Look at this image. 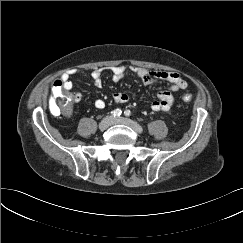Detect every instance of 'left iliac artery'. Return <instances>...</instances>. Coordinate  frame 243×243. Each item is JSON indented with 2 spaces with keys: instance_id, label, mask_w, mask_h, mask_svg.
<instances>
[{
  "instance_id": "obj_1",
  "label": "left iliac artery",
  "mask_w": 243,
  "mask_h": 243,
  "mask_svg": "<svg viewBox=\"0 0 243 243\" xmlns=\"http://www.w3.org/2000/svg\"><path fill=\"white\" fill-rule=\"evenodd\" d=\"M124 114H125V116H130L131 112H130V110H126V111H124Z\"/></svg>"
}]
</instances>
